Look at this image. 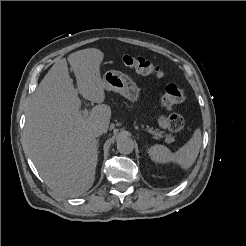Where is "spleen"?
<instances>
[{
  "mask_svg": "<svg viewBox=\"0 0 246 246\" xmlns=\"http://www.w3.org/2000/svg\"><path fill=\"white\" fill-rule=\"evenodd\" d=\"M201 143V130L197 128L190 140L177 152L172 153L166 146L156 144L148 149V154L151 160L156 163H167L173 161L186 170L195 162Z\"/></svg>",
  "mask_w": 246,
  "mask_h": 246,
  "instance_id": "spleen-1",
  "label": "spleen"
}]
</instances>
